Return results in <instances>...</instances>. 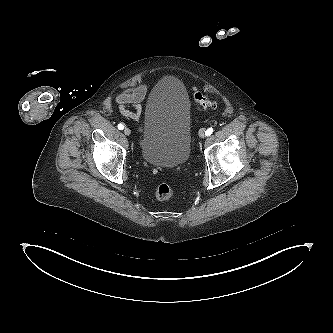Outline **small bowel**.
<instances>
[{
    "mask_svg": "<svg viewBox=\"0 0 333 333\" xmlns=\"http://www.w3.org/2000/svg\"><path fill=\"white\" fill-rule=\"evenodd\" d=\"M146 94V87L139 85L121 92L116 97V103L121 113L132 119L138 120L142 113V102Z\"/></svg>",
    "mask_w": 333,
    "mask_h": 333,
    "instance_id": "1",
    "label": "small bowel"
}]
</instances>
